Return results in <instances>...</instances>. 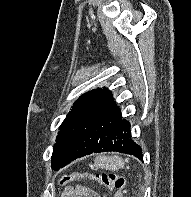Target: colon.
Here are the masks:
<instances>
[{
    "instance_id": "obj_1",
    "label": "colon",
    "mask_w": 191,
    "mask_h": 197,
    "mask_svg": "<svg viewBox=\"0 0 191 197\" xmlns=\"http://www.w3.org/2000/svg\"><path fill=\"white\" fill-rule=\"evenodd\" d=\"M85 180L96 182L103 187L114 191V197H123L125 179L123 176L115 173L87 174V173H66L60 179V184Z\"/></svg>"
}]
</instances>
